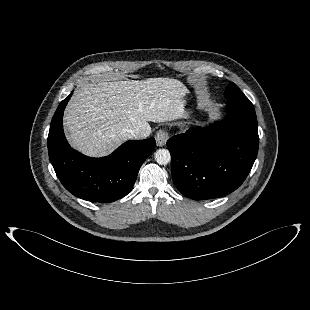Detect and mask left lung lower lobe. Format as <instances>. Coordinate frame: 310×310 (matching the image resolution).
<instances>
[{"instance_id": "obj_1", "label": "left lung lower lobe", "mask_w": 310, "mask_h": 310, "mask_svg": "<svg viewBox=\"0 0 310 310\" xmlns=\"http://www.w3.org/2000/svg\"><path fill=\"white\" fill-rule=\"evenodd\" d=\"M228 115L208 128H191L167 141L177 189L194 200L213 199L236 190L258 153L253 104L244 96L228 99Z\"/></svg>"}]
</instances>
